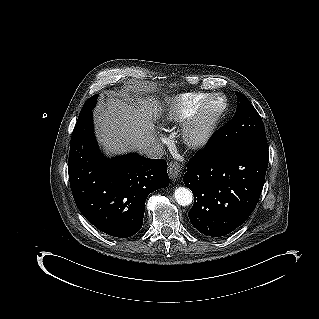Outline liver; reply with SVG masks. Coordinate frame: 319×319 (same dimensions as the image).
<instances>
[{
    "mask_svg": "<svg viewBox=\"0 0 319 319\" xmlns=\"http://www.w3.org/2000/svg\"><path fill=\"white\" fill-rule=\"evenodd\" d=\"M160 113L155 101L141 98L139 93L125 99L110 94L94 112L98 140L107 154L139 151L141 146L157 142L154 118Z\"/></svg>",
    "mask_w": 319,
    "mask_h": 319,
    "instance_id": "1",
    "label": "liver"
}]
</instances>
